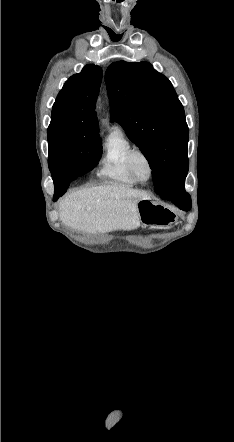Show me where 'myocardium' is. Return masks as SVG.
I'll return each mask as SVG.
<instances>
[{"instance_id":"f54148a6","label":"myocardium","mask_w":234,"mask_h":442,"mask_svg":"<svg viewBox=\"0 0 234 442\" xmlns=\"http://www.w3.org/2000/svg\"><path fill=\"white\" fill-rule=\"evenodd\" d=\"M137 155L143 156L149 165L150 174L146 180L140 179L134 169L133 161ZM127 167H128L130 174L132 175V177L136 180L137 183H140V184L147 183L149 180L152 179V177L154 175V164L152 162V159L144 150H142L140 148H134L130 151V153L127 156Z\"/></svg>"}]
</instances>
